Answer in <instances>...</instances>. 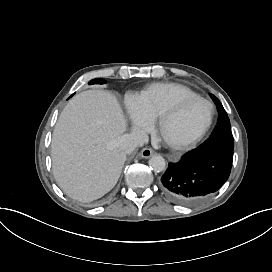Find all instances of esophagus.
<instances>
[{
  "label": "esophagus",
  "instance_id": "esophagus-1",
  "mask_svg": "<svg viewBox=\"0 0 272 272\" xmlns=\"http://www.w3.org/2000/svg\"><path fill=\"white\" fill-rule=\"evenodd\" d=\"M154 154V151L151 148H143L140 152L142 158H149Z\"/></svg>",
  "mask_w": 272,
  "mask_h": 272
}]
</instances>
